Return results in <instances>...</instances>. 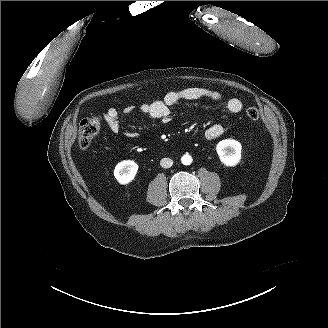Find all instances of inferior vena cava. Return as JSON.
Listing matches in <instances>:
<instances>
[{"label": "inferior vena cava", "mask_w": 328, "mask_h": 328, "mask_svg": "<svg viewBox=\"0 0 328 328\" xmlns=\"http://www.w3.org/2000/svg\"><path fill=\"white\" fill-rule=\"evenodd\" d=\"M160 165L163 168H170L173 165V160L170 158H163L160 161Z\"/></svg>", "instance_id": "obj_1"}]
</instances>
